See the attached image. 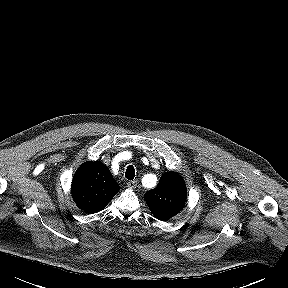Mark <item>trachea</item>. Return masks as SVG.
<instances>
[{
  "instance_id": "trachea-1",
  "label": "trachea",
  "mask_w": 288,
  "mask_h": 288,
  "mask_svg": "<svg viewBox=\"0 0 288 288\" xmlns=\"http://www.w3.org/2000/svg\"><path fill=\"white\" fill-rule=\"evenodd\" d=\"M125 177L128 179V180H133L134 177H135V169L132 165H129L126 169V172H125Z\"/></svg>"
}]
</instances>
